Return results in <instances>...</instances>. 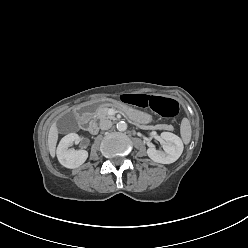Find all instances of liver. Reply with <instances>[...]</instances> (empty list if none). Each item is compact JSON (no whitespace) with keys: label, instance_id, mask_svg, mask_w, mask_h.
<instances>
[{"label":"liver","instance_id":"1","mask_svg":"<svg viewBox=\"0 0 248 248\" xmlns=\"http://www.w3.org/2000/svg\"><path fill=\"white\" fill-rule=\"evenodd\" d=\"M58 140V129L56 123H53L50 127L48 134V149L52 157L55 156L56 144Z\"/></svg>","mask_w":248,"mask_h":248}]
</instances>
